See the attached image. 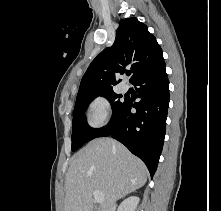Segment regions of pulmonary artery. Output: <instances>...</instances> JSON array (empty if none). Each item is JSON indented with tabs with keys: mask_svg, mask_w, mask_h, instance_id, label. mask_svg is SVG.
<instances>
[{
	"mask_svg": "<svg viewBox=\"0 0 221 211\" xmlns=\"http://www.w3.org/2000/svg\"><path fill=\"white\" fill-rule=\"evenodd\" d=\"M121 89L123 92H127L129 90V85L127 83H123Z\"/></svg>",
	"mask_w": 221,
	"mask_h": 211,
	"instance_id": "pulmonary-artery-1",
	"label": "pulmonary artery"
}]
</instances>
